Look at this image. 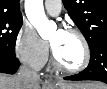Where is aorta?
<instances>
[{
    "label": "aorta",
    "instance_id": "1",
    "mask_svg": "<svg viewBox=\"0 0 107 89\" xmlns=\"http://www.w3.org/2000/svg\"><path fill=\"white\" fill-rule=\"evenodd\" d=\"M25 13L42 38H49L56 30V24L49 21L45 15L43 0H25Z\"/></svg>",
    "mask_w": 107,
    "mask_h": 89
}]
</instances>
